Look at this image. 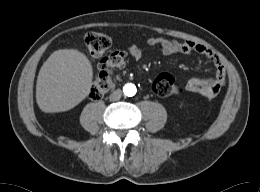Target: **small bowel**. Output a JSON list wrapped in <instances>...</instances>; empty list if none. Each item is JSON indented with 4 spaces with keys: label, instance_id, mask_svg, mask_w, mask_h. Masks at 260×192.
<instances>
[{
    "label": "small bowel",
    "instance_id": "1",
    "mask_svg": "<svg viewBox=\"0 0 260 192\" xmlns=\"http://www.w3.org/2000/svg\"><path fill=\"white\" fill-rule=\"evenodd\" d=\"M150 47L158 46L164 56L175 54L189 55L197 53L206 57L215 68V74L212 78H191L186 83V90L198 93L201 96L212 99L218 95L221 88L226 84L227 73L219 57L210 49L193 41H177L163 37H150L146 40ZM128 53L132 59L138 61L143 57L144 51L137 45H130Z\"/></svg>",
    "mask_w": 260,
    "mask_h": 192
}]
</instances>
